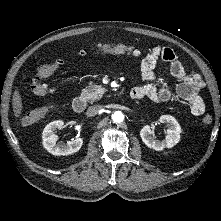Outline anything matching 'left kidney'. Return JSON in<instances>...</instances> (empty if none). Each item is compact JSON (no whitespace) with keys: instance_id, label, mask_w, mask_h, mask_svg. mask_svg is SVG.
I'll use <instances>...</instances> for the list:
<instances>
[{"instance_id":"obj_1","label":"left kidney","mask_w":221,"mask_h":221,"mask_svg":"<svg viewBox=\"0 0 221 221\" xmlns=\"http://www.w3.org/2000/svg\"><path fill=\"white\" fill-rule=\"evenodd\" d=\"M160 123H165L168 126L167 135L164 140H156L152 135V129L149 125L144 126L140 131L142 141L149 148L161 151L165 148H171L175 146L180 140L181 127L177 120L170 115H162L159 118Z\"/></svg>"}]
</instances>
